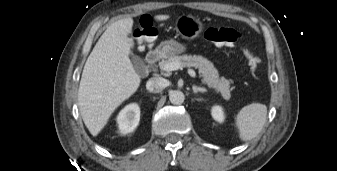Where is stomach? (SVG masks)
I'll use <instances>...</instances> for the list:
<instances>
[{"label": "stomach", "mask_w": 337, "mask_h": 171, "mask_svg": "<svg viewBox=\"0 0 337 171\" xmlns=\"http://www.w3.org/2000/svg\"><path fill=\"white\" fill-rule=\"evenodd\" d=\"M175 29L185 39L196 38L203 29V23L192 15H182L176 20ZM185 46L174 41H164L158 46L159 52L170 57L185 51Z\"/></svg>", "instance_id": "stomach-1"}]
</instances>
